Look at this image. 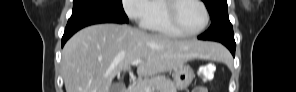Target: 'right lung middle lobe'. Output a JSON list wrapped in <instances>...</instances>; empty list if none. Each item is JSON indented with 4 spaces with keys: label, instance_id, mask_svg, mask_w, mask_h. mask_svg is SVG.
<instances>
[{
    "label": "right lung middle lobe",
    "instance_id": "right-lung-middle-lobe-1",
    "mask_svg": "<svg viewBox=\"0 0 296 92\" xmlns=\"http://www.w3.org/2000/svg\"><path fill=\"white\" fill-rule=\"evenodd\" d=\"M82 14H101L128 23L122 0H73L72 16Z\"/></svg>",
    "mask_w": 296,
    "mask_h": 92
}]
</instances>
